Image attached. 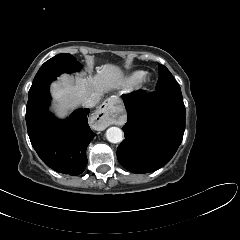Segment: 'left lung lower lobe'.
Instances as JSON below:
<instances>
[{"mask_svg": "<svg viewBox=\"0 0 240 240\" xmlns=\"http://www.w3.org/2000/svg\"><path fill=\"white\" fill-rule=\"evenodd\" d=\"M128 119L117 148L120 164L133 173L155 171L174 156L185 130L180 89L123 95Z\"/></svg>", "mask_w": 240, "mask_h": 240, "instance_id": "left-lung-lower-lobe-1", "label": "left lung lower lobe"}]
</instances>
